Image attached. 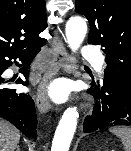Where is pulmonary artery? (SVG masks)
Here are the masks:
<instances>
[{"label": "pulmonary artery", "instance_id": "1", "mask_svg": "<svg viewBox=\"0 0 131 151\" xmlns=\"http://www.w3.org/2000/svg\"><path fill=\"white\" fill-rule=\"evenodd\" d=\"M82 57L84 60L91 63L96 71L100 73L103 72L104 59L93 47L85 46L82 50Z\"/></svg>", "mask_w": 131, "mask_h": 151}]
</instances>
